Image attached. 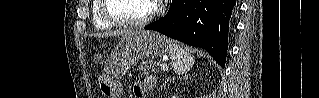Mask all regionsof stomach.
Returning <instances> with one entry per match:
<instances>
[{
  "label": "stomach",
  "instance_id": "obj_1",
  "mask_svg": "<svg viewBox=\"0 0 319 98\" xmlns=\"http://www.w3.org/2000/svg\"><path fill=\"white\" fill-rule=\"evenodd\" d=\"M166 52L165 39L157 32L141 30L123 36L110 56L101 86L103 94L116 98L122 89V77L135 62L161 57Z\"/></svg>",
  "mask_w": 319,
  "mask_h": 98
}]
</instances>
